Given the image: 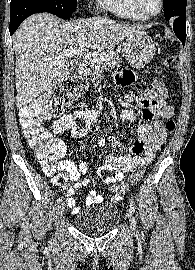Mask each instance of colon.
I'll return each mask as SVG.
<instances>
[{
	"instance_id": "obj_1",
	"label": "colon",
	"mask_w": 195,
	"mask_h": 270,
	"mask_svg": "<svg viewBox=\"0 0 195 270\" xmlns=\"http://www.w3.org/2000/svg\"><path fill=\"white\" fill-rule=\"evenodd\" d=\"M175 58L166 57L162 66L169 68L173 65ZM86 82L80 77L66 80L59 86L43 94L40 98L24 107L20 112V125L28 145L34 150L35 156L43 166L46 174L53 175V181L59 186H65L68 178L61 173L60 158L63 156L65 146L62 141L53 139L51 135L43 129L41 122L43 119L61 116L71 102L77 98L85 89ZM152 100L162 103L167 98V89L161 79L153 81L151 94ZM175 129V121L169 119L163 129L162 137L166 139L168 134ZM144 173V166L133 174L130 179L122 183L118 192L122 193L136 184Z\"/></svg>"
}]
</instances>
